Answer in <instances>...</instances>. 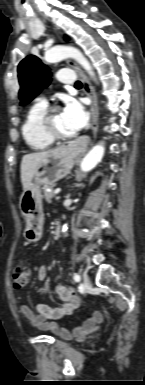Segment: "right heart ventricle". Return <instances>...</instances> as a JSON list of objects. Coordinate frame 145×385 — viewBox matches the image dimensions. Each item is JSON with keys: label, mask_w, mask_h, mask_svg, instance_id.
Listing matches in <instances>:
<instances>
[{"label": "right heart ventricle", "mask_w": 145, "mask_h": 385, "mask_svg": "<svg viewBox=\"0 0 145 385\" xmlns=\"http://www.w3.org/2000/svg\"><path fill=\"white\" fill-rule=\"evenodd\" d=\"M47 110V105L42 102L34 103L26 112L21 125V133L26 145L34 151L47 149L52 140L44 135L40 127L42 116Z\"/></svg>", "instance_id": "right-heart-ventricle-1"}]
</instances>
